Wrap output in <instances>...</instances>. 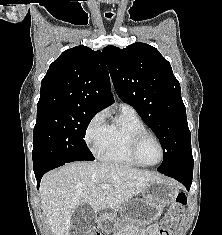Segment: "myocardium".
Masks as SVG:
<instances>
[{
    "label": "myocardium",
    "mask_w": 222,
    "mask_h": 235,
    "mask_svg": "<svg viewBox=\"0 0 222 235\" xmlns=\"http://www.w3.org/2000/svg\"><path fill=\"white\" fill-rule=\"evenodd\" d=\"M148 139H153L158 144L159 149H160V158L156 163H153V164L145 163L140 157V148H141L142 144ZM129 151H130V155H131L132 159L138 165L143 166V167L157 166L163 161V159L165 157V150H164V146H163L162 142L155 134H153L149 131L140 132L137 135H135L131 144H130Z\"/></svg>",
    "instance_id": "obj_1"
}]
</instances>
